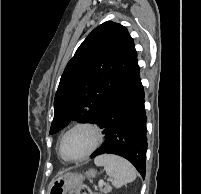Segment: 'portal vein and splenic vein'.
I'll use <instances>...</instances> for the list:
<instances>
[{"label":"portal vein and splenic vein","instance_id":"obj_1","mask_svg":"<svg viewBox=\"0 0 201 194\" xmlns=\"http://www.w3.org/2000/svg\"><path fill=\"white\" fill-rule=\"evenodd\" d=\"M104 184H105V183H104L103 180H100L99 183H98V185H99L100 187H102Z\"/></svg>","mask_w":201,"mask_h":194}]
</instances>
